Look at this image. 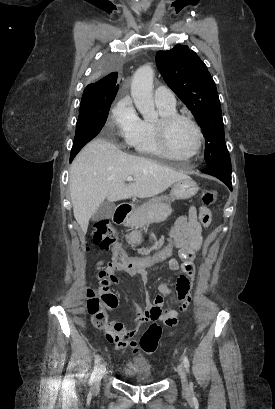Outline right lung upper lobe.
<instances>
[{"mask_svg":"<svg viewBox=\"0 0 275 409\" xmlns=\"http://www.w3.org/2000/svg\"><path fill=\"white\" fill-rule=\"evenodd\" d=\"M118 79V73H110L96 83L89 84L83 92L82 99L91 101L114 100L119 88Z\"/></svg>","mask_w":275,"mask_h":409,"instance_id":"right-lung-upper-lobe-1","label":"right lung upper lobe"}]
</instances>
